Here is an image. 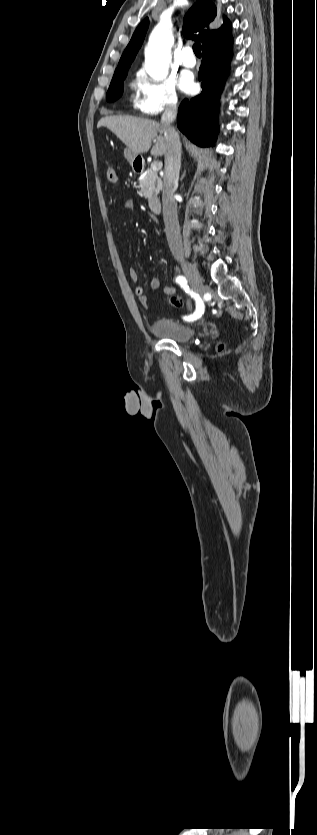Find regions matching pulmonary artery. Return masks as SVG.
I'll list each match as a JSON object with an SVG mask.
<instances>
[{"instance_id":"obj_1","label":"pulmonary artery","mask_w":317,"mask_h":835,"mask_svg":"<svg viewBox=\"0 0 317 835\" xmlns=\"http://www.w3.org/2000/svg\"><path fill=\"white\" fill-rule=\"evenodd\" d=\"M181 64L187 68H192L196 65V58L193 54L191 46H185L180 55Z\"/></svg>"}]
</instances>
